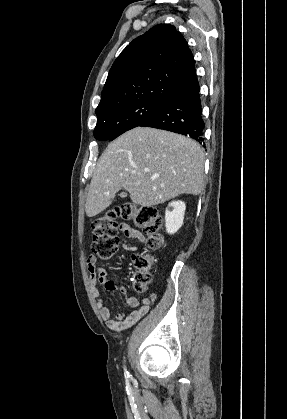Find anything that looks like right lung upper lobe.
Returning <instances> with one entry per match:
<instances>
[{"mask_svg": "<svg viewBox=\"0 0 287 419\" xmlns=\"http://www.w3.org/2000/svg\"><path fill=\"white\" fill-rule=\"evenodd\" d=\"M199 87L195 60L172 25L158 24L134 39L117 57L96 114L135 101H163Z\"/></svg>", "mask_w": 287, "mask_h": 419, "instance_id": "cb5924a9", "label": "right lung upper lobe"}]
</instances>
